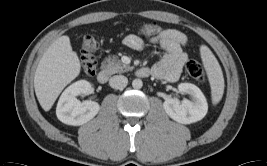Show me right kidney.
<instances>
[{
  "label": "right kidney",
  "instance_id": "1",
  "mask_svg": "<svg viewBox=\"0 0 267 166\" xmlns=\"http://www.w3.org/2000/svg\"><path fill=\"white\" fill-rule=\"evenodd\" d=\"M92 92V85L86 80H79L67 87L59 98L56 115L58 119L68 125L79 126L93 119L100 106L94 101L81 102L76 98L80 94L88 95Z\"/></svg>",
  "mask_w": 267,
  "mask_h": 166
}]
</instances>
